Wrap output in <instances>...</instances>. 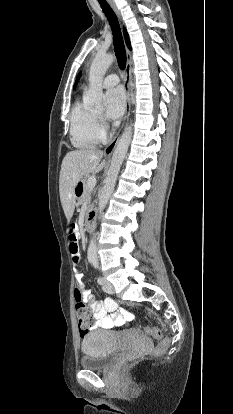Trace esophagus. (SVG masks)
<instances>
[{"mask_svg": "<svg viewBox=\"0 0 233 414\" xmlns=\"http://www.w3.org/2000/svg\"><path fill=\"white\" fill-rule=\"evenodd\" d=\"M112 8L114 9L115 13L117 14V16L120 18V14L118 12V10L116 9L115 5L113 3H111ZM126 67H125V76H124V87L126 90V102H125V115H124V119H123V123L118 131V133L115 135V137L113 138V140L106 146L105 150H104V154L110 156L121 135L123 134L127 122H128V118L130 115V107H131V91H130V84H131V63H132V55L131 52L126 49Z\"/></svg>", "mask_w": 233, "mask_h": 414, "instance_id": "34e87169", "label": "esophagus"}]
</instances>
